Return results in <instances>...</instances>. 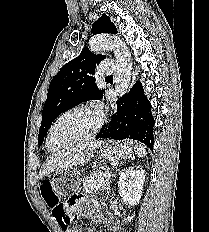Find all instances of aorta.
<instances>
[{
  "label": "aorta",
  "instance_id": "obj_1",
  "mask_svg": "<svg viewBox=\"0 0 209 232\" xmlns=\"http://www.w3.org/2000/svg\"><path fill=\"white\" fill-rule=\"evenodd\" d=\"M89 46L92 52L104 49L114 51L117 69L114 77L115 90L119 96H122L129 86L132 71L131 55L127 46L119 38L107 34L97 35L91 39Z\"/></svg>",
  "mask_w": 209,
  "mask_h": 232
}]
</instances>
